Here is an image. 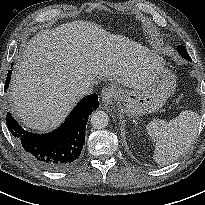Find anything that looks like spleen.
Listing matches in <instances>:
<instances>
[{"mask_svg": "<svg viewBox=\"0 0 205 205\" xmlns=\"http://www.w3.org/2000/svg\"><path fill=\"white\" fill-rule=\"evenodd\" d=\"M199 126L197 112L185 110L170 121L155 120L147 125L155 142L154 160L166 165L178 159L194 142Z\"/></svg>", "mask_w": 205, "mask_h": 205, "instance_id": "spleen-1", "label": "spleen"}]
</instances>
